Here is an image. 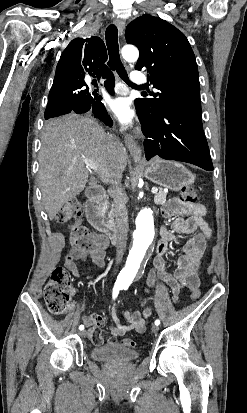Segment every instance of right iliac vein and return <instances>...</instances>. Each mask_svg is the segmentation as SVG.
I'll list each match as a JSON object with an SVG mask.
<instances>
[{"mask_svg": "<svg viewBox=\"0 0 247 413\" xmlns=\"http://www.w3.org/2000/svg\"><path fill=\"white\" fill-rule=\"evenodd\" d=\"M79 334H80V337H81V338H85L86 335H87V331H86V330H85V331H81Z\"/></svg>", "mask_w": 247, "mask_h": 413, "instance_id": "obj_1", "label": "right iliac vein"}]
</instances>
